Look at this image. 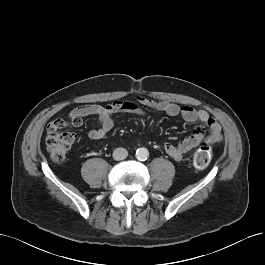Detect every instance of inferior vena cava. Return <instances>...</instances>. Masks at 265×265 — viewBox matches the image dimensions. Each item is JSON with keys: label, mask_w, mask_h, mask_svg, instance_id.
<instances>
[{"label": "inferior vena cava", "mask_w": 265, "mask_h": 265, "mask_svg": "<svg viewBox=\"0 0 265 265\" xmlns=\"http://www.w3.org/2000/svg\"><path fill=\"white\" fill-rule=\"evenodd\" d=\"M128 156V152L125 148H116L113 151V158L117 161L124 160Z\"/></svg>", "instance_id": "602c4592"}]
</instances>
